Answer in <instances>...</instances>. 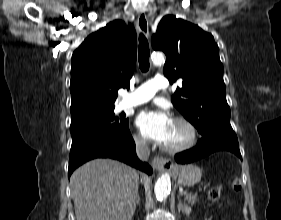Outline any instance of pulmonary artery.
<instances>
[{"label":"pulmonary artery","instance_id":"pulmonary-artery-1","mask_svg":"<svg viewBox=\"0 0 281 220\" xmlns=\"http://www.w3.org/2000/svg\"><path fill=\"white\" fill-rule=\"evenodd\" d=\"M168 87L164 76L158 75L140 85L135 91L126 93L123 99L124 106H136L150 101L155 94Z\"/></svg>","mask_w":281,"mask_h":220}]
</instances>
